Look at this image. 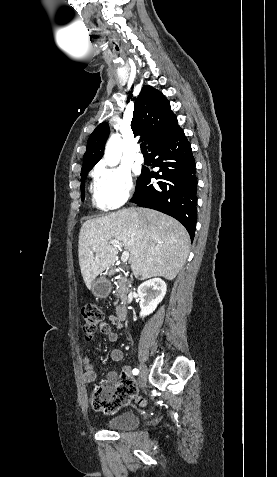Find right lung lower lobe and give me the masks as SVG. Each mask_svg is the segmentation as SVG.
Returning <instances> with one entry per match:
<instances>
[{"label":"right lung lower lobe","mask_w":277,"mask_h":477,"mask_svg":"<svg viewBox=\"0 0 277 477\" xmlns=\"http://www.w3.org/2000/svg\"><path fill=\"white\" fill-rule=\"evenodd\" d=\"M150 151L154 166L160 169L158 172L142 170L132 202L176 218L193 240L197 222V177L190 143L179 128ZM151 178L160 180L158 186L150 184Z\"/></svg>","instance_id":"obj_1"}]
</instances>
